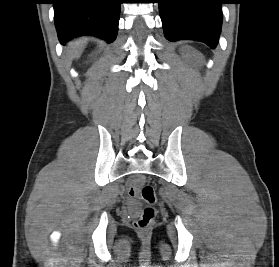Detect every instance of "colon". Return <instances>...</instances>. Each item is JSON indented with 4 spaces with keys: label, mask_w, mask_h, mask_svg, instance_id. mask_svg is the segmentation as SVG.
I'll return each instance as SVG.
<instances>
[{
    "label": "colon",
    "mask_w": 279,
    "mask_h": 267,
    "mask_svg": "<svg viewBox=\"0 0 279 267\" xmlns=\"http://www.w3.org/2000/svg\"><path fill=\"white\" fill-rule=\"evenodd\" d=\"M140 193L147 206L144 208L141 216L134 222V227L140 231H146L152 227L155 221L156 209L153 205L157 197L154 187L150 184H143L140 188Z\"/></svg>",
    "instance_id": "colon-1"
}]
</instances>
